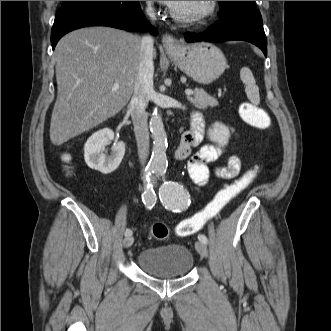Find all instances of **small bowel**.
Wrapping results in <instances>:
<instances>
[{
	"label": "small bowel",
	"instance_id": "small-bowel-1",
	"mask_svg": "<svg viewBox=\"0 0 331 331\" xmlns=\"http://www.w3.org/2000/svg\"><path fill=\"white\" fill-rule=\"evenodd\" d=\"M204 127L205 123L202 115L194 113L191 117L190 129L182 134L180 144L175 150V158L177 160H187L188 174L192 181L199 186L204 185L212 173L225 180L238 177L241 170V161L238 156H230L224 166L211 168L210 164L217 161L222 155V150L219 147L207 144L192 153V149L197 147L203 140Z\"/></svg>",
	"mask_w": 331,
	"mask_h": 331
}]
</instances>
